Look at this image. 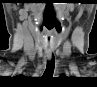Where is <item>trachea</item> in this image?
<instances>
[{
	"mask_svg": "<svg viewBox=\"0 0 97 87\" xmlns=\"http://www.w3.org/2000/svg\"><path fill=\"white\" fill-rule=\"evenodd\" d=\"M54 68H55V59L54 56H52L51 60L47 62V66L43 74V77L44 78L52 77L54 73Z\"/></svg>",
	"mask_w": 97,
	"mask_h": 87,
	"instance_id": "1",
	"label": "trachea"
}]
</instances>
